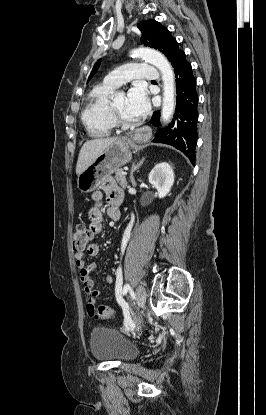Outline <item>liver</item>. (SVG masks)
<instances>
[{
    "label": "liver",
    "instance_id": "liver-1",
    "mask_svg": "<svg viewBox=\"0 0 266 415\" xmlns=\"http://www.w3.org/2000/svg\"><path fill=\"white\" fill-rule=\"evenodd\" d=\"M120 138H103L93 139L84 143L82 146L78 161L76 165V174L79 176L85 169H87L95 159L106 149L111 143L115 142Z\"/></svg>",
    "mask_w": 266,
    "mask_h": 415
}]
</instances>
